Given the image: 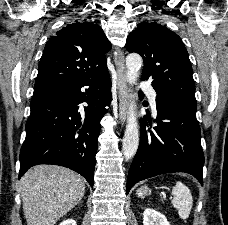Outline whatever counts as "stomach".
Listing matches in <instances>:
<instances>
[{"label": "stomach", "instance_id": "0dacf381", "mask_svg": "<svg viewBox=\"0 0 228 225\" xmlns=\"http://www.w3.org/2000/svg\"><path fill=\"white\" fill-rule=\"evenodd\" d=\"M138 193H141V195H148L150 189H148V187H142V189H139Z\"/></svg>", "mask_w": 228, "mask_h": 225}]
</instances>
